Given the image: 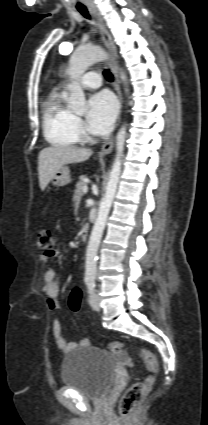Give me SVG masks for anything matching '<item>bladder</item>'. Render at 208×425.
Wrapping results in <instances>:
<instances>
[{
	"instance_id": "31cf9c89",
	"label": "bladder",
	"mask_w": 208,
	"mask_h": 425,
	"mask_svg": "<svg viewBox=\"0 0 208 425\" xmlns=\"http://www.w3.org/2000/svg\"><path fill=\"white\" fill-rule=\"evenodd\" d=\"M115 359L105 350L86 346L73 350L65 358L63 384L90 400H101L115 382Z\"/></svg>"
}]
</instances>
